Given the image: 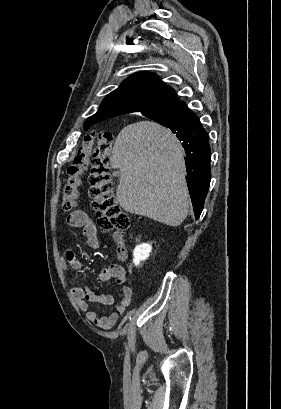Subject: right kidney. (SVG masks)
<instances>
[{
    "instance_id": "obj_1",
    "label": "right kidney",
    "mask_w": 281,
    "mask_h": 409,
    "mask_svg": "<svg viewBox=\"0 0 281 409\" xmlns=\"http://www.w3.org/2000/svg\"><path fill=\"white\" fill-rule=\"evenodd\" d=\"M135 249H146V251H152L151 245H148V243H142V245H137ZM134 249V251H135Z\"/></svg>"
}]
</instances>
